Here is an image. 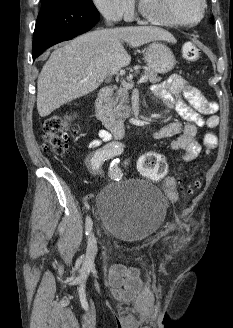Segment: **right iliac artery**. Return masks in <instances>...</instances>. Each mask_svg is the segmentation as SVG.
<instances>
[{
    "mask_svg": "<svg viewBox=\"0 0 233 328\" xmlns=\"http://www.w3.org/2000/svg\"><path fill=\"white\" fill-rule=\"evenodd\" d=\"M123 152L121 144L112 143L104 148L96 151L90 158L89 164L91 169L95 172L98 171L105 160L113 158L114 156L120 155ZM86 235H89L92 229V220L89 216L86 218ZM82 258V257H81Z\"/></svg>",
    "mask_w": 233,
    "mask_h": 328,
    "instance_id": "obj_1",
    "label": "right iliac artery"
}]
</instances>
